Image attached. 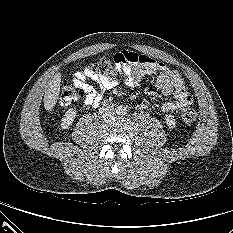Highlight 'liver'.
<instances>
[{"label":"liver","mask_w":233,"mask_h":233,"mask_svg":"<svg viewBox=\"0 0 233 233\" xmlns=\"http://www.w3.org/2000/svg\"><path fill=\"white\" fill-rule=\"evenodd\" d=\"M61 87V74L57 73L47 86L44 94V107L47 111H51L57 103Z\"/></svg>","instance_id":"1"}]
</instances>
